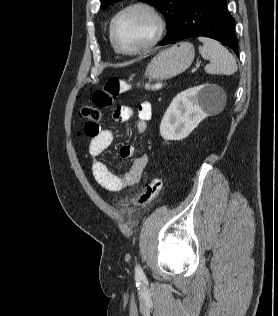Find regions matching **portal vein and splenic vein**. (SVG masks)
<instances>
[{
	"mask_svg": "<svg viewBox=\"0 0 278 316\" xmlns=\"http://www.w3.org/2000/svg\"><path fill=\"white\" fill-rule=\"evenodd\" d=\"M199 66H200V63H197V64H196V68H199Z\"/></svg>",
	"mask_w": 278,
	"mask_h": 316,
	"instance_id": "portal-vein-and-splenic-vein-1",
	"label": "portal vein and splenic vein"
}]
</instances>
